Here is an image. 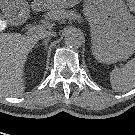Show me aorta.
<instances>
[{
    "instance_id": "aorta-1",
    "label": "aorta",
    "mask_w": 135,
    "mask_h": 135,
    "mask_svg": "<svg viewBox=\"0 0 135 135\" xmlns=\"http://www.w3.org/2000/svg\"><path fill=\"white\" fill-rule=\"evenodd\" d=\"M64 40L67 46L79 48L84 42V35L80 29L70 28L66 32Z\"/></svg>"
}]
</instances>
